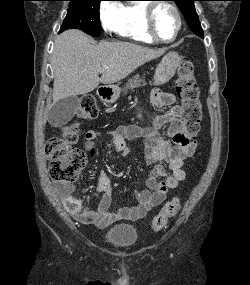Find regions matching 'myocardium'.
I'll return each instance as SVG.
<instances>
[{
  "label": "myocardium",
  "instance_id": "1",
  "mask_svg": "<svg viewBox=\"0 0 250 285\" xmlns=\"http://www.w3.org/2000/svg\"><path fill=\"white\" fill-rule=\"evenodd\" d=\"M160 6H166L168 8H170L176 15L177 21H178V28L176 30V33L174 34V36L170 39H163L161 38L155 30V14L157 9ZM183 27V19H182V15L180 13V10L178 9V7L169 2V1H161V2H151L148 3L147 7H146V13H145V28H146V32L148 34V36L154 40L155 42L158 43H163V44H168V43H172L173 41H175L181 30Z\"/></svg>",
  "mask_w": 250,
  "mask_h": 285
}]
</instances>
